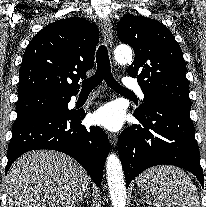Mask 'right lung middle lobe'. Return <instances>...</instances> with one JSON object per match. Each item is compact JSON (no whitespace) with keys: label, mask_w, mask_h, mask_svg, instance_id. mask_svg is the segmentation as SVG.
I'll list each match as a JSON object with an SVG mask.
<instances>
[{"label":"right lung middle lobe","mask_w":206,"mask_h":207,"mask_svg":"<svg viewBox=\"0 0 206 207\" xmlns=\"http://www.w3.org/2000/svg\"><path fill=\"white\" fill-rule=\"evenodd\" d=\"M70 96L58 94H34L18 99L16 121L43 114H60L69 111Z\"/></svg>","instance_id":"1"}]
</instances>
